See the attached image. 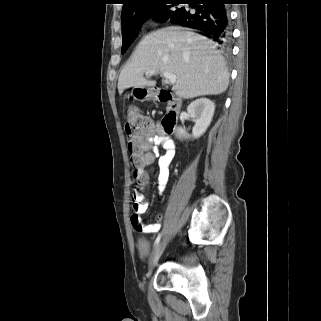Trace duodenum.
<instances>
[{
	"instance_id": "410a0bca",
	"label": "duodenum",
	"mask_w": 321,
	"mask_h": 321,
	"mask_svg": "<svg viewBox=\"0 0 321 321\" xmlns=\"http://www.w3.org/2000/svg\"><path fill=\"white\" fill-rule=\"evenodd\" d=\"M153 97L159 102L166 103L169 106L165 117L162 120V127L167 133H172L178 122L182 101L169 90L158 88L153 92Z\"/></svg>"
}]
</instances>
